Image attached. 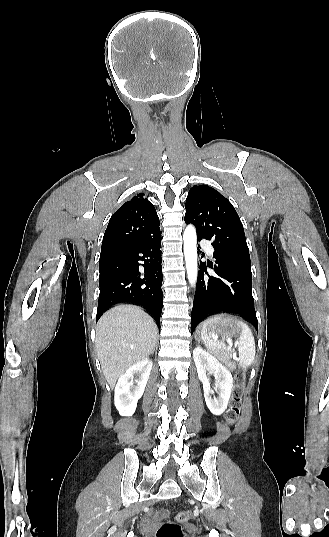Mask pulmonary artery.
<instances>
[{"label": "pulmonary artery", "mask_w": 329, "mask_h": 537, "mask_svg": "<svg viewBox=\"0 0 329 537\" xmlns=\"http://www.w3.org/2000/svg\"><path fill=\"white\" fill-rule=\"evenodd\" d=\"M201 244H202V246L206 249V251L208 252V254H210V255L213 254L214 249H213V247L211 246V244H210L207 240H202V241H201Z\"/></svg>", "instance_id": "obj_1"}]
</instances>
